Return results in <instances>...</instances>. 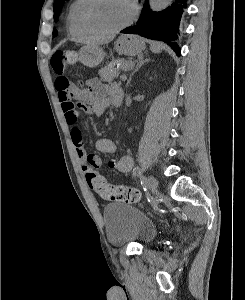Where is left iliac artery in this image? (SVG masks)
<instances>
[{
    "mask_svg": "<svg viewBox=\"0 0 245 300\" xmlns=\"http://www.w3.org/2000/svg\"><path fill=\"white\" fill-rule=\"evenodd\" d=\"M133 174L141 177L142 172H141V170H140L139 168H135V169L133 170Z\"/></svg>",
    "mask_w": 245,
    "mask_h": 300,
    "instance_id": "44dca946",
    "label": "left iliac artery"
}]
</instances>
